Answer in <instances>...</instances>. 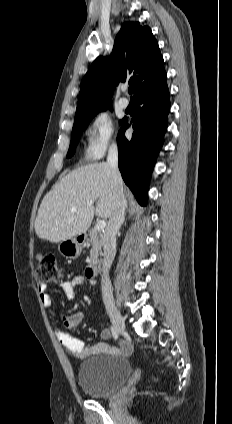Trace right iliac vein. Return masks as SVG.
Here are the masks:
<instances>
[{
	"label": "right iliac vein",
	"mask_w": 232,
	"mask_h": 424,
	"mask_svg": "<svg viewBox=\"0 0 232 424\" xmlns=\"http://www.w3.org/2000/svg\"><path fill=\"white\" fill-rule=\"evenodd\" d=\"M107 313L111 319L113 326L117 329L118 332L122 333L125 331V322L124 318L121 315L120 311L114 305H107Z\"/></svg>",
	"instance_id": "obj_1"
}]
</instances>
